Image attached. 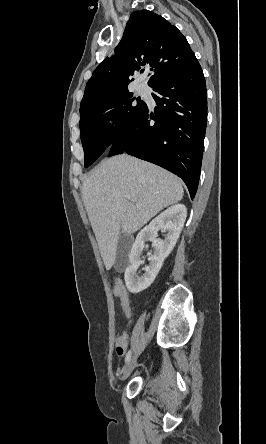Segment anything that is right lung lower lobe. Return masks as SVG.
<instances>
[{
  "instance_id": "1",
  "label": "right lung lower lobe",
  "mask_w": 266,
  "mask_h": 444,
  "mask_svg": "<svg viewBox=\"0 0 266 444\" xmlns=\"http://www.w3.org/2000/svg\"><path fill=\"white\" fill-rule=\"evenodd\" d=\"M157 106L123 129L109 156L126 152L179 176L193 199L200 178L207 124L206 83L197 62L188 71L154 85ZM151 119L155 121L152 122Z\"/></svg>"
}]
</instances>
